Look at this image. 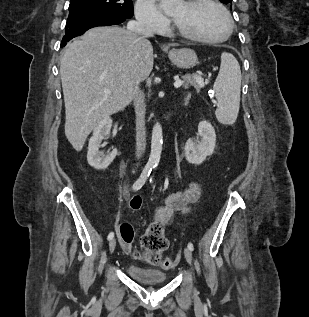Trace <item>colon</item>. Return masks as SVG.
I'll list each match as a JSON object with an SVG mask.
<instances>
[{"mask_svg":"<svg viewBox=\"0 0 309 317\" xmlns=\"http://www.w3.org/2000/svg\"><path fill=\"white\" fill-rule=\"evenodd\" d=\"M142 200L140 196H133L129 200V206L136 211L141 208ZM118 236L126 247H131L135 232L131 224L123 222L118 226ZM168 248V240L164 235L163 226L160 222H154L147 228L141 237V252L138 257L153 264L163 267H171L174 265L173 259L162 257V253Z\"/></svg>","mask_w":309,"mask_h":317,"instance_id":"5ec220e1","label":"colon"}]
</instances>
